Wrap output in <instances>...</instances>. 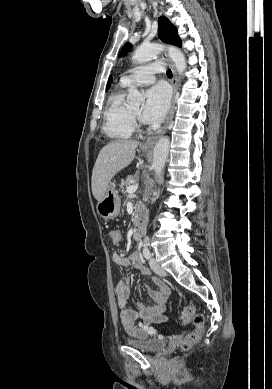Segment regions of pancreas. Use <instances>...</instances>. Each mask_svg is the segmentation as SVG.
<instances>
[{
    "mask_svg": "<svg viewBox=\"0 0 272 389\" xmlns=\"http://www.w3.org/2000/svg\"><path fill=\"white\" fill-rule=\"evenodd\" d=\"M136 181H135V177L134 176H128L125 180H123L120 184V189H121V192L122 193H125V186L127 185H130V184H134Z\"/></svg>",
    "mask_w": 272,
    "mask_h": 389,
    "instance_id": "cf45deb5",
    "label": "pancreas"
}]
</instances>
